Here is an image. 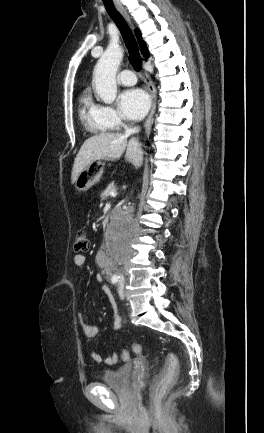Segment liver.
<instances>
[{"mask_svg":"<svg viewBox=\"0 0 264 433\" xmlns=\"http://www.w3.org/2000/svg\"><path fill=\"white\" fill-rule=\"evenodd\" d=\"M126 151L125 160L139 167L143 160V151L138 140L121 133H101L87 139L81 146L73 165L71 182L75 183L81 171L90 163L100 159L116 160Z\"/></svg>","mask_w":264,"mask_h":433,"instance_id":"obj_1","label":"liver"}]
</instances>
